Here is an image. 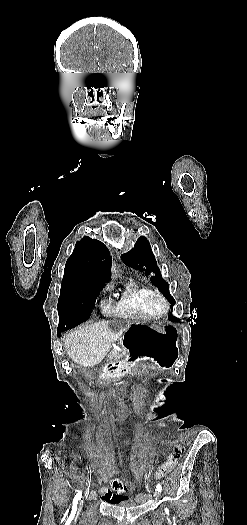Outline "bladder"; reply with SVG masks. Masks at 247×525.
Returning a JSON list of instances; mask_svg holds the SVG:
<instances>
[{
	"instance_id": "1",
	"label": "bladder",
	"mask_w": 247,
	"mask_h": 525,
	"mask_svg": "<svg viewBox=\"0 0 247 525\" xmlns=\"http://www.w3.org/2000/svg\"><path fill=\"white\" fill-rule=\"evenodd\" d=\"M142 497H143L142 495H139L128 501H121V502L115 503V506L122 507V508L139 506L143 503V501H141Z\"/></svg>"
}]
</instances>
